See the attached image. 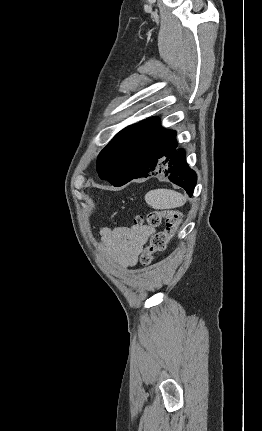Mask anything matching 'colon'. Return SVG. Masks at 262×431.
I'll use <instances>...</instances> for the list:
<instances>
[{
    "label": "colon",
    "instance_id": "colon-1",
    "mask_svg": "<svg viewBox=\"0 0 262 431\" xmlns=\"http://www.w3.org/2000/svg\"><path fill=\"white\" fill-rule=\"evenodd\" d=\"M162 221L165 222V228L152 234L150 244L140 255V260L145 265L150 264L157 253L166 250L180 224L181 216L177 211L173 210H152L143 216L135 218L137 224L145 223L151 227H158Z\"/></svg>",
    "mask_w": 262,
    "mask_h": 431
}]
</instances>
